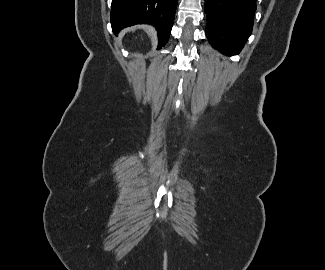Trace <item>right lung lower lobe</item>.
Segmentation results:
<instances>
[{
  "instance_id": "98d812e1",
  "label": "right lung lower lobe",
  "mask_w": 325,
  "mask_h": 270,
  "mask_svg": "<svg viewBox=\"0 0 325 270\" xmlns=\"http://www.w3.org/2000/svg\"><path fill=\"white\" fill-rule=\"evenodd\" d=\"M178 0H112L111 26L117 34L136 24H150L158 31L161 48L168 41Z\"/></svg>"
}]
</instances>
